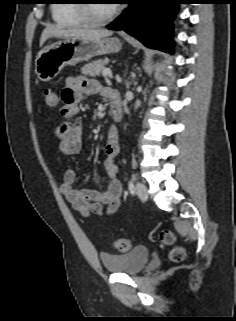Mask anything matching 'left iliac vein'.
Instances as JSON below:
<instances>
[{"label": "left iliac vein", "instance_id": "1", "mask_svg": "<svg viewBox=\"0 0 236 321\" xmlns=\"http://www.w3.org/2000/svg\"><path fill=\"white\" fill-rule=\"evenodd\" d=\"M136 193H137L138 197L140 198V200L146 201L148 199L147 188L141 182H137V184H136Z\"/></svg>", "mask_w": 236, "mask_h": 321}]
</instances>
